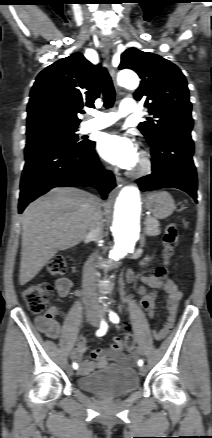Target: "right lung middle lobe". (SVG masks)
<instances>
[{"label": "right lung middle lobe", "instance_id": "dd1d6c3e", "mask_svg": "<svg viewBox=\"0 0 212 438\" xmlns=\"http://www.w3.org/2000/svg\"><path fill=\"white\" fill-rule=\"evenodd\" d=\"M78 127L47 125L27 130V141L35 139H56L67 144L84 145L88 141H79Z\"/></svg>", "mask_w": 212, "mask_h": 438}]
</instances>
